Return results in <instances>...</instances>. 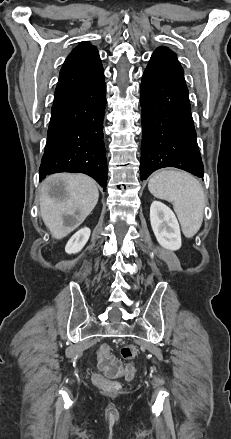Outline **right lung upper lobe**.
I'll return each mask as SVG.
<instances>
[{"label": "right lung upper lobe", "instance_id": "right-lung-upper-lobe-1", "mask_svg": "<svg viewBox=\"0 0 231 439\" xmlns=\"http://www.w3.org/2000/svg\"><path fill=\"white\" fill-rule=\"evenodd\" d=\"M103 66L95 46L81 43L66 58L60 71L54 98L68 94L97 79Z\"/></svg>", "mask_w": 231, "mask_h": 439}]
</instances>
